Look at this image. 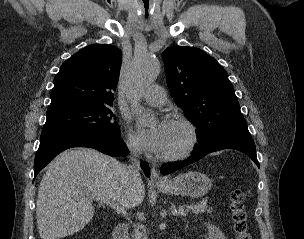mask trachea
Listing matches in <instances>:
<instances>
[{
	"label": "trachea",
	"instance_id": "obj_1",
	"mask_svg": "<svg viewBox=\"0 0 304 239\" xmlns=\"http://www.w3.org/2000/svg\"><path fill=\"white\" fill-rule=\"evenodd\" d=\"M150 4H151V0H142L141 1V6L142 7H149L150 6ZM147 16V15H146Z\"/></svg>",
	"mask_w": 304,
	"mask_h": 239
}]
</instances>
